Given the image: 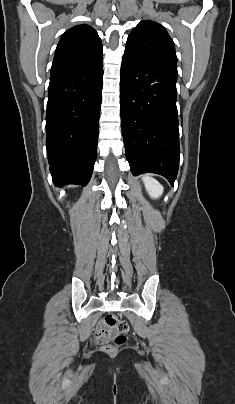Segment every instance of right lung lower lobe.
<instances>
[{
    "label": "right lung lower lobe",
    "mask_w": 235,
    "mask_h": 404,
    "mask_svg": "<svg viewBox=\"0 0 235 404\" xmlns=\"http://www.w3.org/2000/svg\"><path fill=\"white\" fill-rule=\"evenodd\" d=\"M103 64L52 69L46 114V148L56 185L85 186L97 155Z\"/></svg>",
    "instance_id": "right-lung-lower-lobe-1"
}]
</instances>
